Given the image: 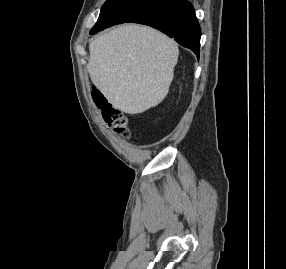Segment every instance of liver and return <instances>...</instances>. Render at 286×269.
<instances>
[{"mask_svg": "<svg viewBox=\"0 0 286 269\" xmlns=\"http://www.w3.org/2000/svg\"><path fill=\"white\" fill-rule=\"evenodd\" d=\"M93 84L116 109L139 114L167 95L179 55L177 43L159 31L125 24L89 46Z\"/></svg>", "mask_w": 286, "mask_h": 269, "instance_id": "1", "label": "liver"}]
</instances>
